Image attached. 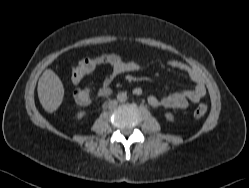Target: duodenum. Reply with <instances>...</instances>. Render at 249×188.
Returning <instances> with one entry per match:
<instances>
[{"instance_id": "duodenum-1", "label": "duodenum", "mask_w": 249, "mask_h": 188, "mask_svg": "<svg viewBox=\"0 0 249 188\" xmlns=\"http://www.w3.org/2000/svg\"><path fill=\"white\" fill-rule=\"evenodd\" d=\"M109 93H110V89L107 88V87L101 88V89L99 90V92H98L99 96H101V97L107 96V95H109ZM134 93H135L136 95H140V94H141V91L136 90V91H134Z\"/></svg>"}]
</instances>
